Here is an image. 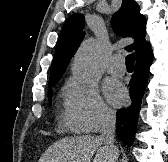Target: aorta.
Segmentation results:
<instances>
[{"label":"aorta","instance_id":"762f6f07","mask_svg":"<svg viewBox=\"0 0 168 162\" xmlns=\"http://www.w3.org/2000/svg\"><path fill=\"white\" fill-rule=\"evenodd\" d=\"M101 59V48L95 39L84 41L76 52L73 75L80 82H88L93 76Z\"/></svg>","mask_w":168,"mask_h":162}]
</instances>
